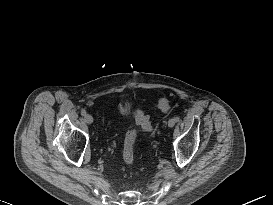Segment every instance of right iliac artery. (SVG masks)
Masks as SVG:
<instances>
[{"mask_svg":"<svg viewBox=\"0 0 273 205\" xmlns=\"http://www.w3.org/2000/svg\"><path fill=\"white\" fill-rule=\"evenodd\" d=\"M86 113H87V112H86V110H85V109H82V110H81V115H82V116H85V115H86Z\"/></svg>","mask_w":273,"mask_h":205,"instance_id":"82829eb1","label":"right iliac artery"}]
</instances>
